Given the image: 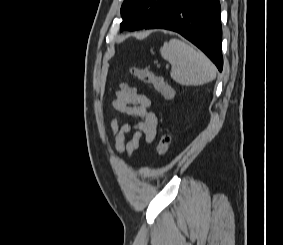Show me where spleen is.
I'll return each mask as SVG.
<instances>
[{"label":"spleen","mask_w":283,"mask_h":245,"mask_svg":"<svg viewBox=\"0 0 283 245\" xmlns=\"http://www.w3.org/2000/svg\"><path fill=\"white\" fill-rule=\"evenodd\" d=\"M160 53L172 65V79L181 85H202L216 77L213 63L202 52L179 39L165 42Z\"/></svg>","instance_id":"3e777b00"}]
</instances>
